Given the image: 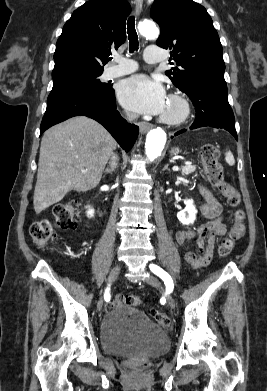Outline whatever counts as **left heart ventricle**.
<instances>
[{"mask_svg": "<svg viewBox=\"0 0 267 391\" xmlns=\"http://www.w3.org/2000/svg\"><path fill=\"white\" fill-rule=\"evenodd\" d=\"M179 111V106L174 102H167L166 107L163 111V113L168 115H175Z\"/></svg>", "mask_w": 267, "mask_h": 391, "instance_id": "left-heart-ventricle-1", "label": "left heart ventricle"}]
</instances>
